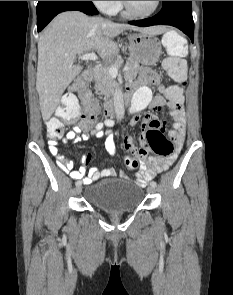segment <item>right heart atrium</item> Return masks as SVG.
Here are the masks:
<instances>
[{
    "label": "right heart atrium",
    "mask_w": 233,
    "mask_h": 295,
    "mask_svg": "<svg viewBox=\"0 0 233 295\" xmlns=\"http://www.w3.org/2000/svg\"><path fill=\"white\" fill-rule=\"evenodd\" d=\"M92 3L102 12L111 14L114 12L118 1H92Z\"/></svg>",
    "instance_id": "1"
}]
</instances>
